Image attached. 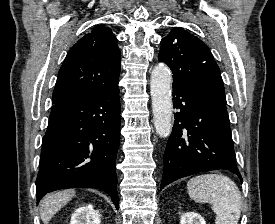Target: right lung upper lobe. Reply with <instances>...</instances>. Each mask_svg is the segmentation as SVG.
<instances>
[{
  "instance_id": "obj_1",
  "label": "right lung upper lobe",
  "mask_w": 275,
  "mask_h": 224,
  "mask_svg": "<svg viewBox=\"0 0 275 224\" xmlns=\"http://www.w3.org/2000/svg\"><path fill=\"white\" fill-rule=\"evenodd\" d=\"M120 50L110 28L97 25L69 50L53 91L52 104L82 99L118 85Z\"/></svg>"
}]
</instances>
